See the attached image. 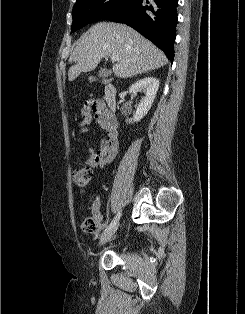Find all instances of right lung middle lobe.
Instances as JSON below:
<instances>
[{"mask_svg":"<svg viewBox=\"0 0 245 314\" xmlns=\"http://www.w3.org/2000/svg\"><path fill=\"white\" fill-rule=\"evenodd\" d=\"M130 0H77L72 12L71 32L87 24L104 19Z\"/></svg>","mask_w":245,"mask_h":314,"instance_id":"dd1d6c3e","label":"right lung middle lobe"}]
</instances>
